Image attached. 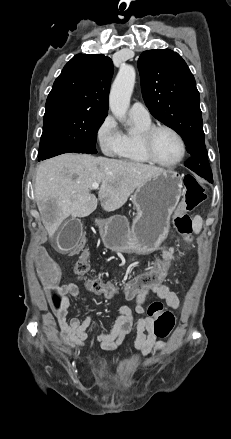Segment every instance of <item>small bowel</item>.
Returning <instances> with one entry per match:
<instances>
[{
    "instance_id": "small-bowel-1",
    "label": "small bowel",
    "mask_w": 231,
    "mask_h": 439,
    "mask_svg": "<svg viewBox=\"0 0 231 439\" xmlns=\"http://www.w3.org/2000/svg\"><path fill=\"white\" fill-rule=\"evenodd\" d=\"M162 258L172 259L173 250L171 248H165L162 257L159 259ZM150 288L168 307L174 310L179 307V298L175 292L170 290L168 283H157ZM150 288H145V293H150ZM59 293H63L64 295V307L61 313H54V315L60 329L61 337L68 349L80 352L85 346V342L89 339L87 329L92 323L93 311L89 309L83 320H79L75 317L67 319V314L70 309V300L71 298L80 297V289L75 283H67L59 286ZM145 293H140V295H137V298H126L127 300H135V307L132 308L127 305L121 306L110 332L96 336L95 339L103 351L119 357L131 352H141L143 356H147L150 353L165 348L166 343L162 340H157L153 332L154 317L163 309V304L155 302L146 309L144 303L149 295H145ZM135 313L140 315V318L136 322L137 333L135 340L128 349L117 351L125 336L130 333L134 326Z\"/></svg>"
}]
</instances>
